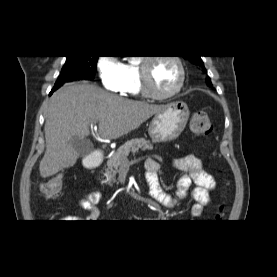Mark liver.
Wrapping results in <instances>:
<instances>
[{
    "label": "liver",
    "mask_w": 277,
    "mask_h": 277,
    "mask_svg": "<svg viewBox=\"0 0 277 277\" xmlns=\"http://www.w3.org/2000/svg\"><path fill=\"white\" fill-rule=\"evenodd\" d=\"M162 109L163 105L127 100L91 84L64 85L51 96L46 110L40 175L46 178L76 163L79 155L69 140L89 136L91 123L99 122L101 138L117 139Z\"/></svg>",
    "instance_id": "6515ba94"
}]
</instances>
